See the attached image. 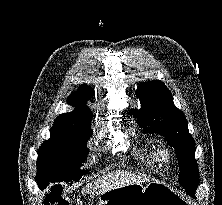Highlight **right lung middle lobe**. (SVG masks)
Wrapping results in <instances>:
<instances>
[{"label":"right lung middle lobe","mask_w":222,"mask_h":205,"mask_svg":"<svg viewBox=\"0 0 222 205\" xmlns=\"http://www.w3.org/2000/svg\"><path fill=\"white\" fill-rule=\"evenodd\" d=\"M90 123H54L51 137L38 151L36 181L39 185L49 182L79 181L87 173L79 170L89 150L86 143L92 135Z\"/></svg>","instance_id":"1"}]
</instances>
